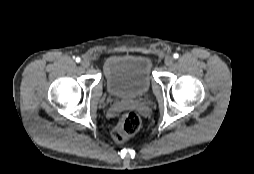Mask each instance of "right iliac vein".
I'll return each instance as SVG.
<instances>
[{"mask_svg": "<svg viewBox=\"0 0 254 174\" xmlns=\"http://www.w3.org/2000/svg\"><path fill=\"white\" fill-rule=\"evenodd\" d=\"M81 66H82L83 68H88V67L90 66L89 60L83 59V60L81 61Z\"/></svg>", "mask_w": 254, "mask_h": 174, "instance_id": "63e3f726", "label": "right iliac vein"}]
</instances>
